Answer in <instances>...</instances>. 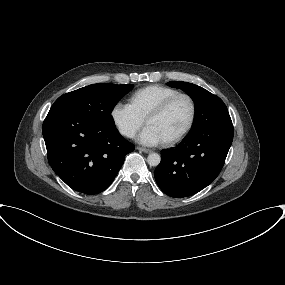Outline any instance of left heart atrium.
<instances>
[{"label": "left heart atrium", "mask_w": 285, "mask_h": 285, "mask_svg": "<svg viewBox=\"0 0 285 285\" xmlns=\"http://www.w3.org/2000/svg\"><path fill=\"white\" fill-rule=\"evenodd\" d=\"M137 141L146 146H156L164 142L159 133L148 125L137 136Z\"/></svg>", "instance_id": "obj_1"}]
</instances>
